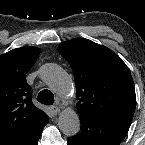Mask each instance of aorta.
I'll return each instance as SVG.
<instances>
[{
  "mask_svg": "<svg viewBox=\"0 0 145 145\" xmlns=\"http://www.w3.org/2000/svg\"><path fill=\"white\" fill-rule=\"evenodd\" d=\"M41 79L58 95L67 96L73 90V81L57 64H45L40 71ZM80 118L73 110H64L58 119V126L66 136H74L80 130Z\"/></svg>",
  "mask_w": 145,
  "mask_h": 145,
  "instance_id": "762f6f07",
  "label": "aorta"
}]
</instances>
